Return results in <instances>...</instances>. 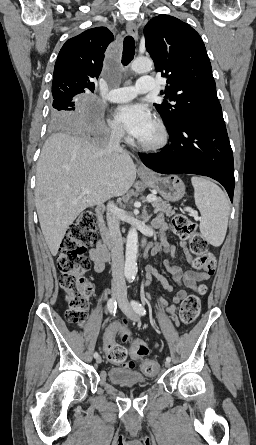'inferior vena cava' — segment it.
Wrapping results in <instances>:
<instances>
[{
	"instance_id": "1",
	"label": "inferior vena cava",
	"mask_w": 256,
	"mask_h": 445,
	"mask_svg": "<svg viewBox=\"0 0 256 445\" xmlns=\"http://www.w3.org/2000/svg\"><path fill=\"white\" fill-rule=\"evenodd\" d=\"M124 131L120 127L113 129L110 141L106 146L104 152L110 156L114 152H122L120 147V140ZM117 208L114 204L107 205V223L109 228L110 249L112 258V287L114 291L126 293V283L124 278V255H123V239L120 232V220L117 216Z\"/></svg>"
}]
</instances>
